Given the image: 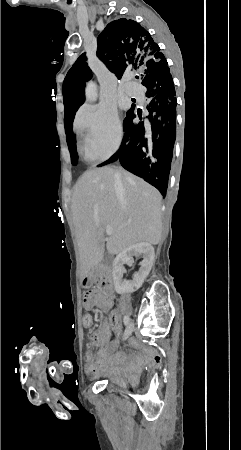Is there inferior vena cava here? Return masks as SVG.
Here are the masks:
<instances>
[{"mask_svg":"<svg viewBox=\"0 0 241 450\" xmlns=\"http://www.w3.org/2000/svg\"><path fill=\"white\" fill-rule=\"evenodd\" d=\"M114 186L116 190H123L120 172H115L114 174Z\"/></svg>","mask_w":241,"mask_h":450,"instance_id":"obj_1","label":"inferior vena cava"}]
</instances>
